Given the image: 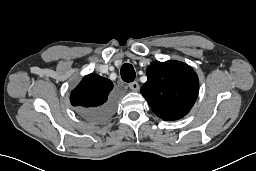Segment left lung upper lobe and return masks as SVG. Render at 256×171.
Returning <instances> with one entry per match:
<instances>
[{"label":"left lung upper lobe","instance_id":"1","mask_svg":"<svg viewBox=\"0 0 256 171\" xmlns=\"http://www.w3.org/2000/svg\"><path fill=\"white\" fill-rule=\"evenodd\" d=\"M146 73L148 79L141 93L158 117L174 121L188 114L199 88L197 74L189 65L157 61L148 66Z\"/></svg>","mask_w":256,"mask_h":171}]
</instances>
